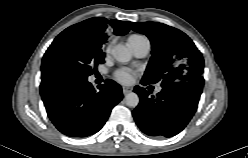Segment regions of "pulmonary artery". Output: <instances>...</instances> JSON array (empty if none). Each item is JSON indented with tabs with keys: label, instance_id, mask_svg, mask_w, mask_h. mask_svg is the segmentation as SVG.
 I'll use <instances>...</instances> for the list:
<instances>
[{
	"label": "pulmonary artery",
	"instance_id": "pulmonary-artery-1",
	"mask_svg": "<svg viewBox=\"0 0 248 158\" xmlns=\"http://www.w3.org/2000/svg\"><path fill=\"white\" fill-rule=\"evenodd\" d=\"M129 47L131 48L133 54L138 58L145 57L151 48V44L148 38L142 36L139 38H129ZM161 87L156 88V92H160Z\"/></svg>",
	"mask_w": 248,
	"mask_h": 158
}]
</instances>
